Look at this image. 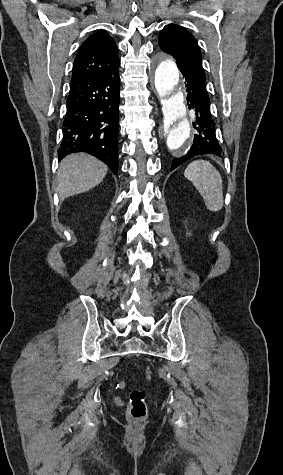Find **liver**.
I'll list each match as a JSON object with an SVG mask.
<instances>
[{"label":"liver","instance_id":"6515ba94","mask_svg":"<svg viewBox=\"0 0 283 475\" xmlns=\"http://www.w3.org/2000/svg\"><path fill=\"white\" fill-rule=\"evenodd\" d=\"M108 172L106 164L89 154H71L61 160L57 172L60 198L83 194L98 186Z\"/></svg>","mask_w":283,"mask_h":475}]
</instances>
